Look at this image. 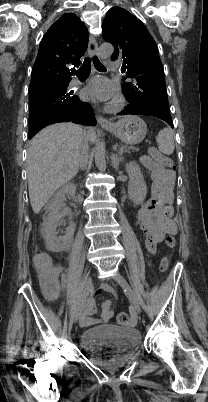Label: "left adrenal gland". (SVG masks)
<instances>
[{
    "instance_id": "1",
    "label": "left adrenal gland",
    "mask_w": 208,
    "mask_h": 402,
    "mask_svg": "<svg viewBox=\"0 0 208 402\" xmlns=\"http://www.w3.org/2000/svg\"><path fill=\"white\" fill-rule=\"evenodd\" d=\"M111 166L115 168V170H118L119 162H122L123 158L122 156H117V154H111Z\"/></svg>"
}]
</instances>
